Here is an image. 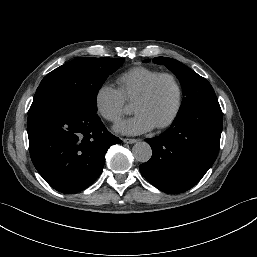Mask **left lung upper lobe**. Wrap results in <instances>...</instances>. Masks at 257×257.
<instances>
[{"label": "left lung upper lobe", "mask_w": 257, "mask_h": 257, "mask_svg": "<svg viewBox=\"0 0 257 257\" xmlns=\"http://www.w3.org/2000/svg\"><path fill=\"white\" fill-rule=\"evenodd\" d=\"M153 62L165 65L180 80L184 98L177 118L209 102L217 101L211 84L184 64L167 57H156Z\"/></svg>", "instance_id": "left-lung-upper-lobe-1"}]
</instances>
